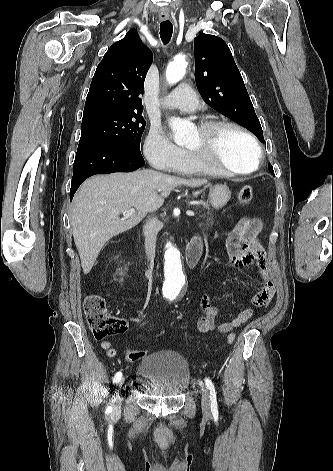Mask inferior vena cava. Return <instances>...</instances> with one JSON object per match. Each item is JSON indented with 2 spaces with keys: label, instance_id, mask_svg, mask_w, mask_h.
Returning <instances> with one entry per match:
<instances>
[{
  "label": "inferior vena cava",
  "instance_id": "1",
  "mask_svg": "<svg viewBox=\"0 0 333 471\" xmlns=\"http://www.w3.org/2000/svg\"><path fill=\"white\" fill-rule=\"evenodd\" d=\"M143 230L145 236V251L147 259L151 264H153L155 258L157 235L160 230V222L157 219H152L144 225Z\"/></svg>",
  "mask_w": 333,
  "mask_h": 471
}]
</instances>
